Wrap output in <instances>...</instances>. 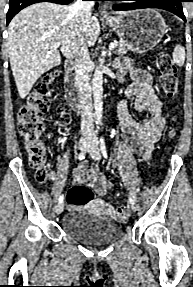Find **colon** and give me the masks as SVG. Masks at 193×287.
<instances>
[{"label":"colon","instance_id":"5ec220e1","mask_svg":"<svg viewBox=\"0 0 193 287\" xmlns=\"http://www.w3.org/2000/svg\"><path fill=\"white\" fill-rule=\"evenodd\" d=\"M157 72L160 86L168 99H174L178 90V75L176 66L169 54L162 52L157 58ZM57 76L56 71L47 73L29 94L18 111L19 133L29 156L30 165L35 169V178L40 184H47L51 180V173L46 165V144L43 139L44 126L42 118L48 111L51 97V84ZM68 110L60 105L57 108L59 126L67 125L70 118ZM93 190L84 185H75L67 193L70 206L80 207L92 202ZM129 214L125 207L118 206L114 210V217L119 221L127 220Z\"/></svg>","mask_w":193,"mask_h":287}]
</instances>
